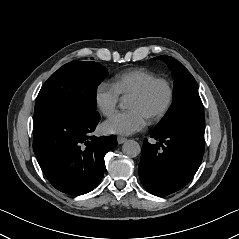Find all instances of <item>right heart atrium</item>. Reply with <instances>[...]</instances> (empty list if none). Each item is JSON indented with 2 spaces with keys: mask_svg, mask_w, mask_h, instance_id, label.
I'll list each match as a JSON object with an SVG mask.
<instances>
[{
  "mask_svg": "<svg viewBox=\"0 0 239 239\" xmlns=\"http://www.w3.org/2000/svg\"><path fill=\"white\" fill-rule=\"evenodd\" d=\"M96 102L101 112L112 115L119 103V93L114 86L103 84L98 88Z\"/></svg>",
  "mask_w": 239,
  "mask_h": 239,
  "instance_id": "d8ad5b80",
  "label": "right heart atrium"
}]
</instances>
